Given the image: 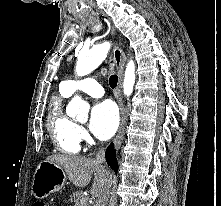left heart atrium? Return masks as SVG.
Instances as JSON below:
<instances>
[{
  "mask_svg": "<svg viewBox=\"0 0 221 206\" xmlns=\"http://www.w3.org/2000/svg\"><path fill=\"white\" fill-rule=\"evenodd\" d=\"M119 125V113L110 101H104L93 106L90 113L89 128L100 139L110 138Z\"/></svg>",
  "mask_w": 221,
  "mask_h": 206,
  "instance_id": "39dd6f15",
  "label": "left heart atrium"
}]
</instances>
